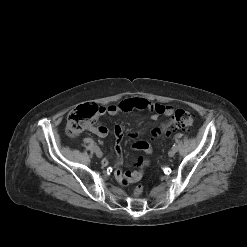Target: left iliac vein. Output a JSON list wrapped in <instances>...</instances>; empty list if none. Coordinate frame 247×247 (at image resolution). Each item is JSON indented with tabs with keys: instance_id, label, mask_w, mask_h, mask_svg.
<instances>
[{
	"instance_id": "obj_1",
	"label": "left iliac vein",
	"mask_w": 247,
	"mask_h": 247,
	"mask_svg": "<svg viewBox=\"0 0 247 247\" xmlns=\"http://www.w3.org/2000/svg\"><path fill=\"white\" fill-rule=\"evenodd\" d=\"M175 153H176V150L171 149V150L168 152V155H169V157H173V156L175 155Z\"/></svg>"
}]
</instances>
